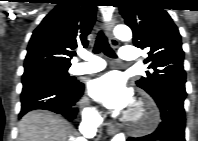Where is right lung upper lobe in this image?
Listing matches in <instances>:
<instances>
[{
	"instance_id": "cb5924a9",
	"label": "right lung upper lobe",
	"mask_w": 198,
	"mask_h": 141,
	"mask_svg": "<svg viewBox=\"0 0 198 141\" xmlns=\"http://www.w3.org/2000/svg\"><path fill=\"white\" fill-rule=\"evenodd\" d=\"M96 20L93 0H62L42 20L29 41L24 72L40 68H69L81 43L88 44L87 35Z\"/></svg>"
}]
</instances>
